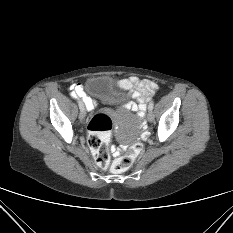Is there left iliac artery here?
<instances>
[{
	"label": "left iliac artery",
	"instance_id": "1",
	"mask_svg": "<svg viewBox=\"0 0 233 233\" xmlns=\"http://www.w3.org/2000/svg\"><path fill=\"white\" fill-rule=\"evenodd\" d=\"M153 107H154V102L152 101L149 103L148 109L152 111Z\"/></svg>",
	"mask_w": 233,
	"mask_h": 233
}]
</instances>
